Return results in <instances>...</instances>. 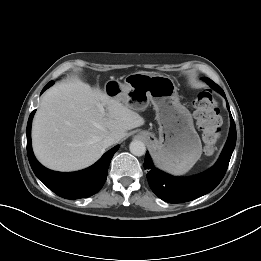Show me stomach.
Instances as JSON below:
<instances>
[{
    "instance_id": "obj_1",
    "label": "stomach",
    "mask_w": 261,
    "mask_h": 261,
    "mask_svg": "<svg viewBox=\"0 0 261 261\" xmlns=\"http://www.w3.org/2000/svg\"><path fill=\"white\" fill-rule=\"evenodd\" d=\"M111 98L133 110L151 103L159 124V138L148 131L140 135L148 140L156 163L174 174H184L198 161L202 144L190 111L180 103L174 81L160 74L132 73L125 83L109 80L104 87Z\"/></svg>"
}]
</instances>
